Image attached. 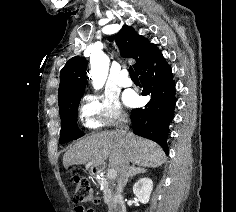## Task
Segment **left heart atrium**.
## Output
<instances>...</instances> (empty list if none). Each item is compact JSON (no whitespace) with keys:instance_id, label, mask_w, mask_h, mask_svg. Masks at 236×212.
Instances as JSON below:
<instances>
[{"instance_id":"39dd6f15","label":"left heart atrium","mask_w":236,"mask_h":212,"mask_svg":"<svg viewBox=\"0 0 236 212\" xmlns=\"http://www.w3.org/2000/svg\"><path fill=\"white\" fill-rule=\"evenodd\" d=\"M124 102L128 106H134L137 103V96L134 93H128L124 97Z\"/></svg>"}]
</instances>
